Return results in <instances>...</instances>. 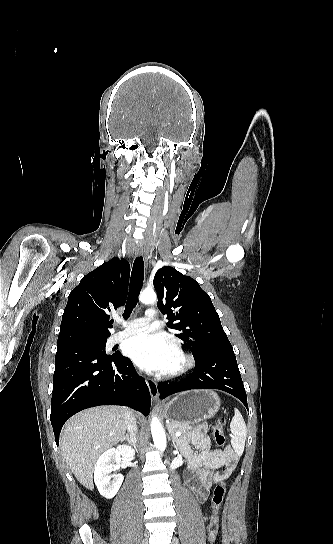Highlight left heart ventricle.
<instances>
[{
    "label": "left heart ventricle",
    "mask_w": 333,
    "mask_h": 544,
    "mask_svg": "<svg viewBox=\"0 0 333 544\" xmlns=\"http://www.w3.org/2000/svg\"><path fill=\"white\" fill-rule=\"evenodd\" d=\"M178 364H179L178 357L176 356V354L173 351H171L167 366H166V368H165V370L163 372L169 371V370L175 368Z\"/></svg>",
    "instance_id": "left-heart-ventricle-1"
}]
</instances>
